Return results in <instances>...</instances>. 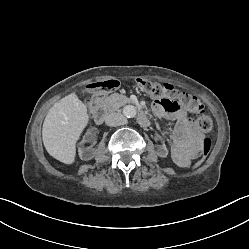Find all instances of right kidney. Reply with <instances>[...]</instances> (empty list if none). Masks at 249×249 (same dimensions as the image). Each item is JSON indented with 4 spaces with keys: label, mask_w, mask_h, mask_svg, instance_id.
<instances>
[{
    "label": "right kidney",
    "mask_w": 249,
    "mask_h": 249,
    "mask_svg": "<svg viewBox=\"0 0 249 249\" xmlns=\"http://www.w3.org/2000/svg\"><path fill=\"white\" fill-rule=\"evenodd\" d=\"M98 137V129L96 127H91L89 129V132H87L85 134V136L83 137V140L80 143V147H79V157L82 160H90L94 157V153L93 150H91L90 148H85L84 147V143L87 147H92L94 145V140Z\"/></svg>",
    "instance_id": "1"
}]
</instances>
